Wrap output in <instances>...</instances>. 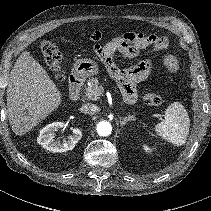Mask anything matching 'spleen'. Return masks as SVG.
<instances>
[{"mask_svg": "<svg viewBox=\"0 0 211 211\" xmlns=\"http://www.w3.org/2000/svg\"><path fill=\"white\" fill-rule=\"evenodd\" d=\"M189 126L187 111L179 102H174L167 107L164 119L155 125L154 130L161 138L176 146H182L187 140Z\"/></svg>", "mask_w": 211, "mask_h": 211, "instance_id": "spleen-1", "label": "spleen"}]
</instances>
